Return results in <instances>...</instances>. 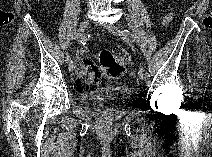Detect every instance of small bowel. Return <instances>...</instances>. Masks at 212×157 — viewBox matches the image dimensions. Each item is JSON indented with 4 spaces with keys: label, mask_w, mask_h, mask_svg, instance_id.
I'll list each match as a JSON object with an SVG mask.
<instances>
[{
    "label": "small bowel",
    "mask_w": 212,
    "mask_h": 157,
    "mask_svg": "<svg viewBox=\"0 0 212 157\" xmlns=\"http://www.w3.org/2000/svg\"><path fill=\"white\" fill-rule=\"evenodd\" d=\"M170 19H171V16H168V17L166 18V22H169ZM82 53H86V50H83ZM89 61H90V60H89L88 58H83V59L81 60L80 68L82 69L83 67H85V65H86ZM79 75H80V71H79V73H78V76H79Z\"/></svg>",
    "instance_id": "c3829d8e"
}]
</instances>
